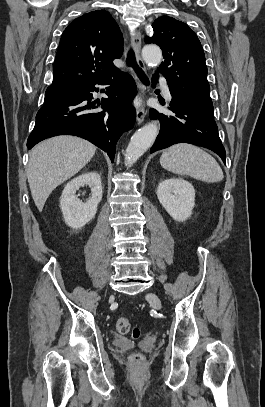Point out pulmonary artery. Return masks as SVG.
Segmentation results:
<instances>
[{"instance_id":"obj_1","label":"pulmonary artery","mask_w":265,"mask_h":407,"mask_svg":"<svg viewBox=\"0 0 265 407\" xmlns=\"http://www.w3.org/2000/svg\"><path fill=\"white\" fill-rule=\"evenodd\" d=\"M160 82L162 83V88H163V93L167 98H170V93H169V88L166 84V81L164 78H160Z\"/></svg>"}]
</instances>
